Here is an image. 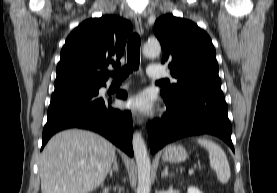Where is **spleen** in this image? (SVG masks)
Returning a JSON list of instances; mask_svg holds the SVG:
<instances>
[{"instance_id":"obj_1","label":"spleen","mask_w":277,"mask_h":193,"mask_svg":"<svg viewBox=\"0 0 277 193\" xmlns=\"http://www.w3.org/2000/svg\"><path fill=\"white\" fill-rule=\"evenodd\" d=\"M196 141L208 151L210 166L216 172L217 179L222 184L227 183L231 172L225 152L211 140L198 138Z\"/></svg>"}]
</instances>
